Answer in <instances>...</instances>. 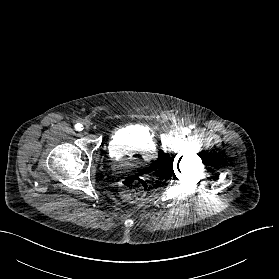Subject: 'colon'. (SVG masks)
I'll return each instance as SVG.
<instances>
[{"mask_svg": "<svg viewBox=\"0 0 279 279\" xmlns=\"http://www.w3.org/2000/svg\"><path fill=\"white\" fill-rule=\"evenodd\" d=\"M146 191V181L142 177L136 175L128 176L119 183L120 196L126 201H138L144 197Z\"/></svg>", "mask_w": 279, "mask_h": 279, "instance_id": "colon-1", "label": "colon"}]
</instances>
